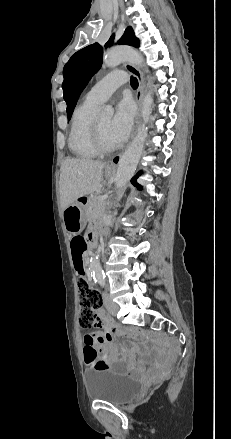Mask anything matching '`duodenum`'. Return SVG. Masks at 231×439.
Listing matches in <instances>:
<instances>
[{
  "label": "duodenum",
  "instance_id": "duodenum-1",
  "mask_svg": "<svg viewBox=\"0 0 231 439\" xmlns=\"http://www.w3.org/2000/svg\"><path fill=\"white\" fill-rule=\"evenodd\" d=\"M94 240H95V238H94V236L91 238V240H90V243H94Z\"/></svg>",
  "mask_w": 231,
  "mask_h": 439
}]
</instances>
